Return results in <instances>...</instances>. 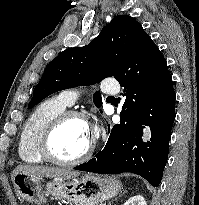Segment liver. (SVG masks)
Returning <instances> with one entry per match:
<instances>
[{
  "instance_id": "6515ba94",
  "label": "liver",
  "mask_w": 199,
  "mask_h": 205,
  "mask_svg": "<svg viewBox=\"0 0 199 205\" xmlns=\"http://www.w3.org/2000/svg\"><path fill=\"white\" fill-rule=\"evenodd\" d=\"M19 172H23L25 174H30L39 177L62 178V179L76 178L80 174L78 171H71L69 169H64V168L20 165L13 170L11 174L12 181L15 174Z\"/></svg>"
}]
</instances>
